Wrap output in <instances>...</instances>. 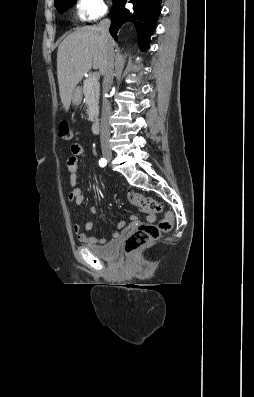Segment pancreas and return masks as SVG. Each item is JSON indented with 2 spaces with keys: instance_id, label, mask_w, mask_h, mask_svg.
<instances>
[{
  "instance_id": "pancreas-1",
  "label": "pancreas",
  "mask_w": 254,
  "mask_h": 397,
  "mask_svg": "<svg viewBox=\"0 0 254 397\" xmlns=\"http://www.w3.org/2000/svg\"><path fill=\"white\" fill-rule=\"evenodd\" d=\"M83 93L85 96V102L87 105L88 120L93 122L99 114V83L98 80H93L92 77H88L84 81Z\"/></svg>"
}]
</instances>
